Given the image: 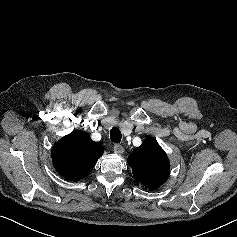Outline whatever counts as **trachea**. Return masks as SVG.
I'll return each mask as SVG.
<instances>
[{
    "instance_id": "3493384b",
    "label": "trachea",
    "mask_w": 237,
    "mask_h": 237,
    "mask_svg": "<svg viewBox=\"0 0 237 237\" xmlns=\"http://www.w3.org/2000/svg\"><path fill=\"white\" fill-rule=\"evenodd\" d=\"M122 134L119 128L114 127L110 131V139L115 143H120Z\"/></svg>"
}]
</instances>
